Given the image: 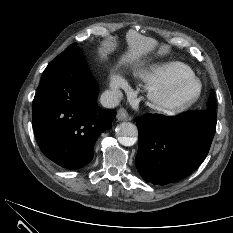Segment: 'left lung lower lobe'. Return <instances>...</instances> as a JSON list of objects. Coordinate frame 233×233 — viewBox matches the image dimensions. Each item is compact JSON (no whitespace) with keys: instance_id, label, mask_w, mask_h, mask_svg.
I'll return each mask as SVG.
<instances>
[{"instance_id":"left-lung-lower-lobe-1","label":"left lung lower lobe","mask_w":233,"mask_h":233,"mask_svg":"<svg viewBox=\"0 0 233 233\" xmlns=\"http://www.w3.org/2000/svg\"><path fill=\"white\" fill-rule=\"evenodd\" d=\"M217 114L197 110L178 116L146 114L137 119L136 167L146 182L165 185L189 175L206 158Z\"/></svg>"}]
</instances>
